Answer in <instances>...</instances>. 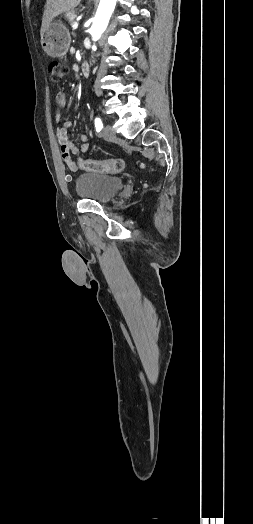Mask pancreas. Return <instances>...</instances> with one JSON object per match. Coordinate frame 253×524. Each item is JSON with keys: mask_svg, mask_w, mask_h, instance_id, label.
Wrapping results in <instances>:
<instances>
[{"mask_svg": "<svg viewBox=\"0 0 253 524\" xmlns=\"http://www.w3.org/2000/svg\"><path fill=\"white\" fill-rule=\"evenodd\" d=\"M65 17L69 21L70 24H73L77 17V10L68 11Z\"/></svg>", "mask_w": 253, "mask_h": 524, "instance_id": "pancreas-1", "label": "pancreas"}]
</instances>
